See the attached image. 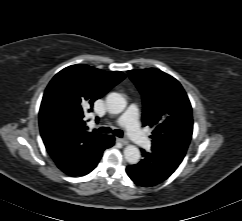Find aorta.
Instances as JSON below:
<instances>
[{
    "mask_svg": "<svg viewBox=\"0 0 242 221\" xmlns=\"http://www.w3.org/2000/svg\"><path fill=\"white\" fill-rule=\"evenodd\" d=\"M106 104L111 113L119 114L126 108L127 102L120 93L112 92L107 96ZM123 152L128 163L137 164L139 162L140 150L135 145H127Z\"/></svg>",
    "mask_w": 242,
    "mask_h": 221,
    "instance_id": "1",
    "label": "aorta"
}]
</instances>
